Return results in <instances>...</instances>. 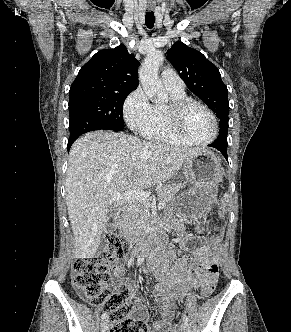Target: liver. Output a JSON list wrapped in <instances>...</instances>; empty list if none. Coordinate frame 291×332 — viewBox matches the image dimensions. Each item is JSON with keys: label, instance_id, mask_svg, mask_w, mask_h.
Segmentation results:
<instances>
[{"label": "liver", "instance_id": "liver-1", "mask_svg": "<svg viewBox=\"0 0 291 332\" xmlns=\"http://www.w3.org/2000/svg\"><path fill=\"white\" fill-rule=\"evenodd\" d=\"M202 148L159 145L110 131L90 132L72 145L66 203L75 257L93 258L116 193L144 190L171 179Z\"/></svg>", "mask_w": 291, "mask_h": 332}]
</instances>
